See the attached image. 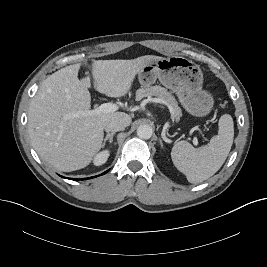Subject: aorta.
<instances>
[{
  "instance_id": "aorta-1",
  "label": "aorta",
  "mask_w": 267,
  "mask_h": 267,
  "mask_svg": "<svg viewBox=\"0 0 267 267\" xmlns=\"http://www.w3.org/2000/svg\"><path fill=\"white\" fill-rule=\"evenodd\" d=\"M153 134V129L150 125L144 124L137 128V135L141 139H150Z\"/></svg>"
}]
</instances>
